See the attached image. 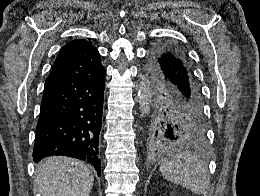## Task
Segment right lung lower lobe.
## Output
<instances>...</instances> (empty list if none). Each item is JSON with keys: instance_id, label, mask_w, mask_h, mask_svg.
I'll return each mask as SVG.
<instances>
[{"instance_id": "1", "label": "right lung lower lobe", "mask_w": 260, "mask_h": 196, "mask_svg": "<svg viewBox=\"0 0 260 196\" xmlns=\"http://www.w3.org/2000/svg\"><path fill=\"white\" fill-rule=\"evenodd\" d=\"M104 89L105 72L44 93L34 162L54 155L74 157L91 162L100 176L98 146Z\"/></svg>"}]
</instances>
